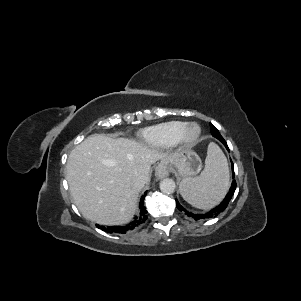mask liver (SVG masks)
<instances>
[{"instance_id": "1", "label": "liver", "mask_w": 301, "mask_h": 301, "mask_svg": "<svg viewBox=\"0 0 301 301\" xmlns=\"http://www.w3.org/2000/svg\"><path fill=\"white\" fill-rule=\"evenodd\" d=\"M169 156L133 139L92 135L69 154L66 179L82 215L101 225L128 223L141 189L137 176L150 182L151 165Z\"/></svg>"}]
</instances>
